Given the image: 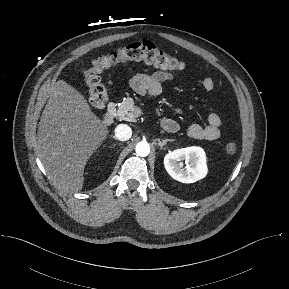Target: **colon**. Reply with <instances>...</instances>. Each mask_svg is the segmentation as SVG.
Masks as SVG:
<instances>
[{
  "label": "colon",
  "instance_id": "5ec220e1",
  "mask_svg": "<svg viewBox=\"0 0 289 289\" xmlns=\"http://www.w3.org/2000/svg\"><path fill=\"white\" fill-rule=\"evenodd\" d=\"M129 61H145L170 71H180L184 68L180 59L163 51L150 41L128 43L99 56L92 61L88 68L83 70L84 81L88 88V101L92 107L102 109L107 102V90L101 82V73L119 63ZM236 150L237 146L234 142H229L225 146V152L229 155L234 154Z\"/></svg>",
  "mask_w": 289,
  "mask_h": 289
}]
</instances>
